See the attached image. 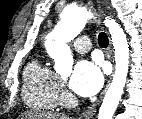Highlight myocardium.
I'll return each instance as SVG.
<instances>
[{"label": "myocardium", "mask_w": 142, "mask_h": 119, "mask_svg": "<svg viewBox=\"0 0 142 119\" xmlns=\"http://www.w3.org/2000/svg\"><path fill=\"white\" fill-rule=\"evenodd\" d=\"M61 102L64 104V105H67V106H72L75 104V99L68 93H65L63 96H62V99H61Z\"/></svg>", "instance_id": "myocardium-1"}]
</instances>
